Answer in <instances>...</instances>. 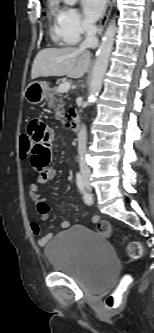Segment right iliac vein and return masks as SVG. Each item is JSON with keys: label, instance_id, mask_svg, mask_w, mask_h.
<instances>
[{"label": "right iliac vein", "instance_id": "right-iliac-vein-1", "mask_svg": "<svg viewBox=\"0 0 154 333\" xmlns=\"http://www.w3.org/2000/svg\"><path fill=\"white\" fill-rule=\"evenodd\" d=\"M83 181H84V185H85V187L87 188V189H91V186H90V182H89V180L87 179V178H84L83 179Z\"/></svg>", "mask_w": 154, "mask_h": 333}]
</instances>
